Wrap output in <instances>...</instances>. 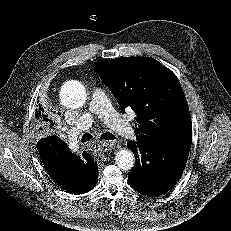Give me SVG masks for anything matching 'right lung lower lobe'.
<instances>
[{"instance_id": "98d812e1", "label": "right lung lower lobe", "mask_w": 231, "mask_h": 231, "mask_svg": "<svg viewBox=\"0 0 231 231\" xmlns=\"http://www.w3.org/2000/svg\"><path fill=\"white\" fill-rule=\"evenodd\" d=\"M37 149L48 174L64 190L82 194L96 185L97 162L89 153L84 152L83 157L72 154L57 136L40 139Z\"/></svg>"}]
</instances>
